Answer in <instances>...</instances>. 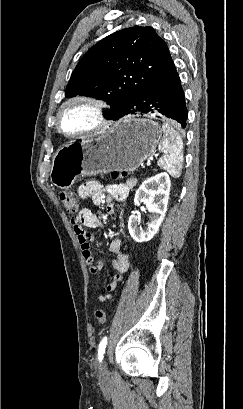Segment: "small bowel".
Segmentation results:
<instances>
[{
	"label": "small bowel",
	"instance_id": "obj_1",
	"mask_svg": "<svg viewBox=\"0 0 243 409\" xmlns=\"http://www.w3.org/2000/svg\"><path fill=\"white\" fill-rule=\"evenodd\" d=\"M136 184L137 180L135 178H130L125 183L112 184L104 189L99 182L92 180L82 184L78 193L83 199L91 198L96 205L104 203L107 213L113 214L115 212V202L125 200L129 191L135 187ZM104 192L107 194L105 198H103ZM71 223L76 233L88 271L92 275H95L97 285L100 288V273L103 268V261L100 259L95 261L90 247V242L94 239V236L92 233L87 232L85 228H104V223L100 215L89 208H83L76 217L72 218ZM122 247V241L120 239H113L110 243L109 250L115 255L112 261L115 274L111 275V280L106 285L105 292H100L98 294L97 300L99 302L111 299V292L115 289L122 279V275L126 273L129 268V259L123 252Z\"/></svg>",
	"mask_w": 243,
	"mask_h": 409
}]
</instances>
